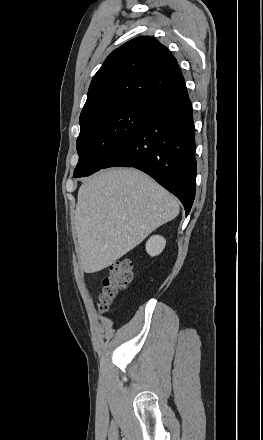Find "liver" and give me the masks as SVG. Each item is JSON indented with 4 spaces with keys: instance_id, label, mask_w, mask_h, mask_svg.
I'll list each match as a JSON object with an SVG mask.
<instances>
[{
    "instance_id": "1",
    "label": "liver",
    "mask_w": 263,
    "mask_h": 440,
    "mask_svg": "<svg viewBox=\"0 0 263 440\" xmlns=\"http://www.w3.org/2000/svg\"><path fill=\"white\" fill-rule=\"evenodd\" d=\"M178 214L177 199L143 172H99L78 191L74 230L82 270L107 268Z\"/></svg>"
}]
</instances>
